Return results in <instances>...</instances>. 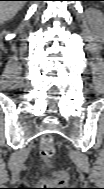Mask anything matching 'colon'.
<instances>
[{
  "instance_id": "obj_1",
  "label": "colon",
  "mask_w": 104,
  "mask_h": 189,
  "mask_svg": "<svg viewBox=\"0 0 104 189\" xmlns=\"http://www.w3.org/2000/svg\"><path fill=\"white\" fill-rule=\"evenodd\" d=\"M58 151V147L54 143L51 136L46 135L41 140L40 156L47 165H51L54 162V156Z\"/></svg>"
}]
</instances>
